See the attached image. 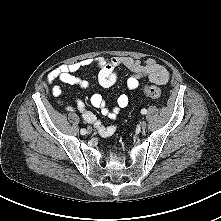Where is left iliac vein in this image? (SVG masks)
Instances as JSON below:
<instances>
[{
    "label": "left iliac vein",
    "instance_id": "obj_1",
    "mask_svg": "<svg viewBox=\"0 0 221 221\" xmlns=\"http://www.w3.org/2000/svg\"><path fill=\"white\" fill-rule=\"evenodd\" d=\"M140 126H141V129H142V130H145L146 127H147V123H146L145 121H142L141 124H140Z\"/></svg>",
    "mask_w": 221,
    "mask_h": 221
}]
</instances>
